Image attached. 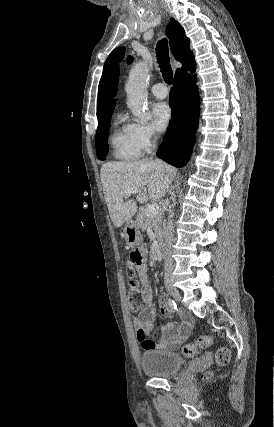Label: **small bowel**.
Masks as SVG:
<instances>
[{
	"mask_svg": "<svg viewBox=\"0 0 274 427\" xmlns=\"http://www.w3.org/2000/svg\"><path fill=\"white\" fill-rule=\"evenodd\" d=\"M136 272L142 283L144 304L139 315L133 318L140 347L147 353L154 350L176 351L191 334V320L184 316L181 324L168 321L164 326H154L153 293L148 282V270L144 261L136 265ZM159 310L163 318L169 314V306L164 297L159 300Z\"/></svg>",
	"mask_w": 274,
	"mask_h": 427,
	"instance_id": "1",
	"label": "small bowel"
}]
</instances>
